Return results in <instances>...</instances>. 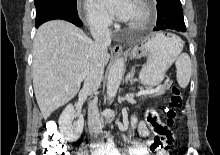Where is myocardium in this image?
I'll use <instances>...</instances> for the list:
<instances>
[{"mask_svg": "<svg viewBox=\"0 0 220 155\" xmlns=\"http://www.w3.org/2000/svg\"><path fill=\"white\" fill-rule=\"evenodd\" d=\"M135 4L142 9L143 15L140 20L130 21L127 23V25L132 29H140L146 26L152 20L154 15V7L151 0H135Z\"/></svg>", "mask_w": 220, "mask_h": 155, "instance_id": "myocardium-1", "label": "myocardium"}]
</instances>
